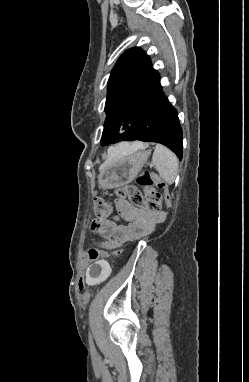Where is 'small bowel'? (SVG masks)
<instances>
[{
    "instance_id": "1",
    "label": "small bowel",
    "mask_w": 249,
    "mask_h": 382,
    "mask_svg": "<svg viewBox=\"0 0 249 382\" xmlns=\"http://www.w3.org/2000/svg\"><path fill=\"white\" fill-rule=\"evenodd\" d=\"M116 207L118 213L115 218L96 216L91 224L92 231L104 239V246L107 248H114L144 237L165 219L163 212L135 207L125 199H118ZM120 220L127 222V225L118 223Z\"/></svg>"
}]
</instances>
